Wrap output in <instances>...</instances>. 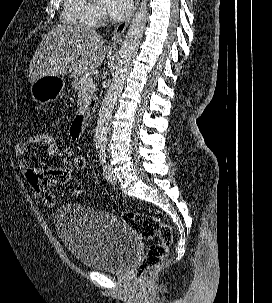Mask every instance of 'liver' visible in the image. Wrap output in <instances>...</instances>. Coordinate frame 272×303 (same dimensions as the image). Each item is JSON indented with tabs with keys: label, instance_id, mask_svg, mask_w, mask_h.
Instances as JSON below:
<instances>
[{
	"label": "liver",
	"instance_id": "6515ba94",
	"mask_svg": "<svg viewBox=\"0 0 272 303\" xmlns=\"http://www.w3.org/2000/svg\"><path fill=\"white\" fill-rule=\"evenodd\" d=\"M107 46L102 36L83 25L59 24L42 39L29 65L31 83L42 77L88 73L100 67Z\"/></svg>",
	"mask_w": 272,
	"mask_h": 303
}]
</instances>
